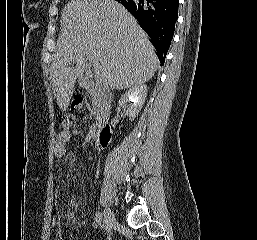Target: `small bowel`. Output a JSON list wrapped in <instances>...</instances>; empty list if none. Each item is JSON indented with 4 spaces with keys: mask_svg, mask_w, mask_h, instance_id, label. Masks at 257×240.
Segmentation results:
<instances>
[{
    "mask_svg": "<svg viewBox=\"0 0 257 240\" xmlns=\"http://www.w3.org/2000/svg\"><path fill=\"white\" fill-rule=\"evenodd\" d=\"M71 138V131L68 125H65L64 128L58 133L55 140V153L59 159H63L66 155V143ZM57 223L56 219L52 220V225L55 226Z\"/></svg>",
    "mask_w": 257,
    "mask_h": 240,
    "instance_id": "1",
    "label": "small bowel"
}]
</instances>
